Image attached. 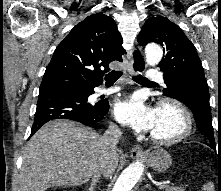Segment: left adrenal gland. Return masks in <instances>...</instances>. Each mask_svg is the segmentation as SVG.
Masks as SVG:
<instances>
[{
  "instance_id": "left-adrenal-gland-1",
  "label": "left adrenal gland",
  "mask_w": 221,
  "mask_h": 191,
  "mask_svg": "<svg viewBox=\"0 0 221 191\" xmlns=\"http://www.w3.org/2000/svg\"><path fill=\"white\" fill-rule=\"evenodd\" d=\"M144 188H150V185H149V184H146V185L144 186Z\"/></svg>"
}]
</instances>
